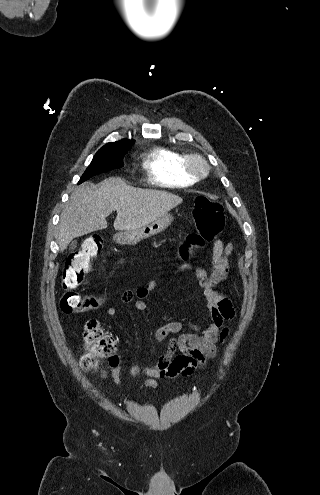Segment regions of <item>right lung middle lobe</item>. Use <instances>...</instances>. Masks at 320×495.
<instances>
[{
  "label": "right lung middle lobe",
  "mask_w": 320,
  "mask_h": 495,
  "mask_svg": "<svg viewBox=\"0 0 320 495\" xmlns=\"http://www.w3.org/2000/svg\"><path fill=\"white\" fill-rule=\"evenodd\" d=\"M128 150L129 148L99 149L78 184L100 173L123 167V157Z\"/></svg>",
  "instance_id": "right-lung-middle-lobe-1"
}]
</instances>
